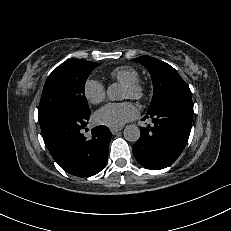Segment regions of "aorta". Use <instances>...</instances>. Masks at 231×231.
Masks as SVG:
<instances>
[{
    "label": "aorta",
    "instance_id": "aorta-1",
    "mask_svg": "<svg viewBox=\"0 0 231 231\" xmlns=\"http://www.w3.org/2000/svg\"><path fill=\"white\" fill-rule=\"evenodd\" d=\"M107 96L110 100H121L123 93L121 87L113 83L107 89ZM124 138L130 142L138 141L140 137V129L136 125H127L123 131Z\"/></svg>",
    "mask_w": 231,
    "mask_h": 231
}]
</instances>
